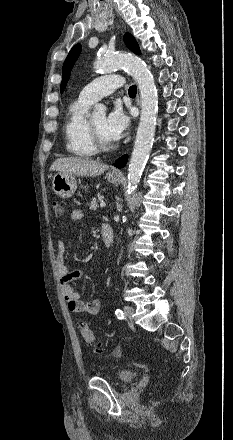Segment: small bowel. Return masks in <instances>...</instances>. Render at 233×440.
<instances>
[{"label":"small bowel","mask_w":233,"mask_h":440,"mask_svg":"<svg viewBox=\"0 0 233 440\" xmlns=\"http://www.w3.org/2000/svg\"><path fill=\"white\" fill-rule=\"evenodd\" d=\"M83 216L84 214L81 209H75L70 213L72 221H79ZM65 251V242L58 241L55 265L68 309L74 314L97 315L101 309L100 300L95 299L87 302L81 300L78 291L71 285L72 280L83 277L85 272L83 270H70L67 268L64 261Z\"/></svg>","instance_id":"c3829d8e"}]
</instances>
